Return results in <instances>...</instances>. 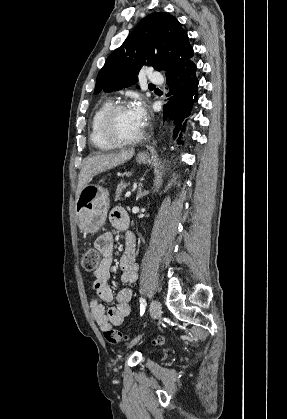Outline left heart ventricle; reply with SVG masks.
<instances>
[{"mask_svg": "<svg viewBox=\"0 0 287 419\" xmlns=\"http://www.w3.org/2000/svg\"><path fill=\"white\" fill-rule=\"evenodd\" d=\"M143 126L136 120L130 108L119 111L114 118V130L122 138H132L138 135Z\"/></svg>", "mask_w": 287, "mask_h": 419, "instance_id": "obj_1", "label": "left heart ventricle"}]
</instances>
